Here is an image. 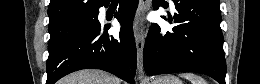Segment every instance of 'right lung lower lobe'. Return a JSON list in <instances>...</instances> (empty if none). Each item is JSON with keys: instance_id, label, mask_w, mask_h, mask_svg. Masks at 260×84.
Segmentation results:
<instances>
[{"instance_id": "98d812e1", "label": "right lung lower lobe", "mask_w": 260, "mask_h": 84, "mask_svg": "<svg viewBox=\"0 0 260 84\" xmlns=\"http://www.w3.org/2000/svg\"><path fill=\"white\" fill-rule=\"evenodd\" d=\"M137 6L138 0L120 2L115 14L121 23L119 37L109 36V26L100 24L93 30L69 37L49 53L46 84H54L63 76L81 69H101L134 84L136 46L132 21Z\"/></svg>"}]
</instances>
